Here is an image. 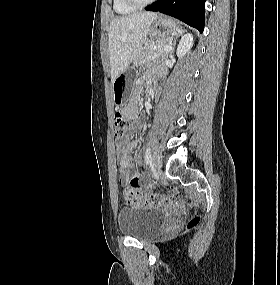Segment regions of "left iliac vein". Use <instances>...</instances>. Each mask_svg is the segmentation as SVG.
I'll use <instances>...</instances> for the list:
<instances>
[{
    "label": "left iliac vein",
    "instance_id": "4c4485c4",
    "mask_svg": "<svg viewBox=\"0 0 280 285\" xmlns=\"http://www.w3.org/2000/svg\"><path fill=\"white\" fill-rule=\"evenodd\" d=\"M152 166L156 172H159L162 168V154L159 148H155L153 152Z\"/></svg>",
    "mask_w": 280,
    "mask_h": 285
}]
</instances>
